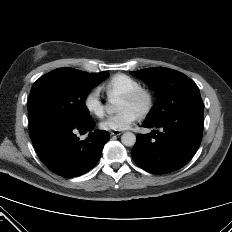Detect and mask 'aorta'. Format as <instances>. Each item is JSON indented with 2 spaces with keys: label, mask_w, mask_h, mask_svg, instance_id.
<instances>
[{
  "label": "aorta",
  "mask_w": 232,
  "mask_h": 232,
  "mask_svg": "<svg viewBox=\"0 0 232 232\" xmlns=\"http://www.w3.org/2000/svg\"><path fill=\"white\" fill-rule=\"evenodd\" d=\"M118 100L114 99L111 104L106 106V111L108 113H114L118 110L117 108ZM121 141L125 146H133L136 143V136L132 132H125L121 136Z\"/></svg>",
  "instance_id": "aorta-1"
}]
</instances>
